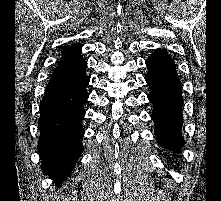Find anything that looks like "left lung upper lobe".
I'll return each instance as SVG.
<instances>
[{
    "mask_svg": "<svg viewBox=\"0 0 221 201\" xmlns=\"http://www.w3.org/2000/svg\"><path fill=\"white\" fill-rule=\"evenodd\" d=\"M154 54H158V55H161V56H164V57H167V58H170V59H171V56H169V55L166 53V51H161L160 49H157Z\"/></svg>",
    "mask_w": 221,
    "mask_h": 201,
    "instance_id": "1",
    "label": "left lung upper lobe"
}]
</instances>
